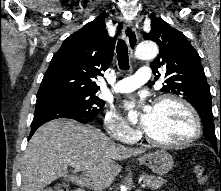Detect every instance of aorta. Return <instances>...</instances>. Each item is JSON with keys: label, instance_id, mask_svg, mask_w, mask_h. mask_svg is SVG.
I'll use <instances>...</instances> for the list:
<instances>
[{"label": "aorta", "instance_id": "aorta-1", "mask_svg": "<svg viewBox=\"0 0 221 191\" xmlns=\"http://www.w3.org/2000/svg\"><path fill=\"white\" fill-rule=\"evenodd\" d=\"M158 54V47L154 42L146 41L137 46L136 57L142 60L153 59ZM136 116L134 111L129 112V118L133 119Z\"/></svg>", "mask_w": 221, "mask_h": 191}]
</instances>
